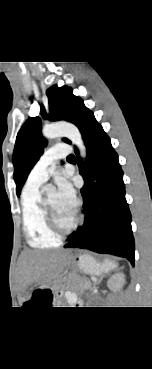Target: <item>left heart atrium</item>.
I'll use <instances>...</instances> for the list:
<instances>
[{
  "label": "left heart atrium",
  "mask_w": 152,
  "mask_h": 369,
  "mask_svg": "<svg viewBox=\"0 0 152 369\" xmlns=\"http://www.w3.org/2000/svg\"><path fill=\"white\" fill-rule=\"evenodd\" d=\"M57 196L62 208L68 212L75 213L78 200L70 182L64 178L57 180Z\"/></svg>",
  "instance_id": "39dd6f15"
}]
</instances>
